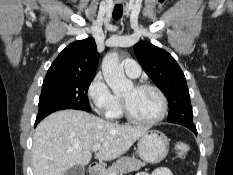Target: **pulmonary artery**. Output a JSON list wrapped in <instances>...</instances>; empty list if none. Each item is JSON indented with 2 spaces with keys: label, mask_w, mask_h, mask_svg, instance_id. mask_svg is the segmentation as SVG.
<instances>
[{
  "label": "pulmonary artery",
  "mask_w": 233,
  "mask_h": 175,
  "mask_svg": "<svg viewBox=\"0 0 233 175\" xmlns=\"http://www.w3.org/2000/svg\"><path fill=\"white\" fill-rule=\"evenodd\" d=\"M123 66H124V71H125L127 76H129L131 78L139 77V75L141 73V68H140V65L138 64V62H136L135 60H132V59H126L123 62Z\"/></svg>",
  "instance_id": "e3ab8cb5"
}]
</instances>
